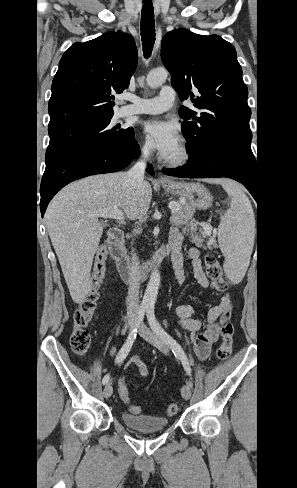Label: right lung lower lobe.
<instances>
[{
	"label": "right lung lower lobe",
	"mask_w": 297,
	"mask_h": 488,
	"mask_svg": "<svg viewBox=\"0 0 297 488\" xmlns=\"http://www.w3.org/2000/svg\"><path fill=\"white\" fill-rule=\"evenodd\" d=\"M135 138L73 149L46 165L40 186L42 217L50 200L68 183L95 174L120 171L138 157ZM147 171L153 174L149 167Z\"/></svg>",
	"instance_id": "right-lung-lower-lobe-1"
}]
</instances>
